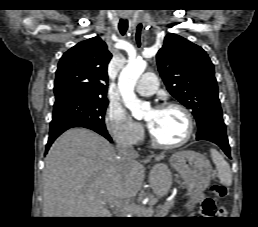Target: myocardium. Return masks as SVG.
Returning a JSON list of instances; mask_svg holds the SVG:
<instances>
[{"instance_id":"myocardium-1","label":"myocardium","mask_w":258,"mask_h":227,"mask_svg":"<svg viewBox=\"0 0 258 227\" xmlns=\"http://www.w3.org/2000/svg\"><path fill=\"white\" fill-rule=\"evenodd\" d=\"M167 108H175L183 113V115L186 118V122H187V132H186V135L181 140H179L177 142H173V143H165V142L160 141L150 129L149 135H150V140H151L152 145L157 148H162V149L177 148V147H180V146L186 144L193 136L194 129H195L194 119H193L191 112L184 105H182L180 103L172 102V101H165V102H162V103L156 105L154 109L162 110V109H167Z\"/></svg>"}]
</instances>
